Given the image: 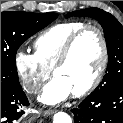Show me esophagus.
<instances>
[{
  "label": "esophagus",
  "instance_id": "34e87169",
  "mask_svg": "<svg viewBox=\"0 0 123 123\" xmlns=\"http://www.w3.org/2000/svg\"><path fill=\"white\" fill-rule=\"evenodd\" d=\"M54 113V110H44L42 111V114L44 116H49V115H52Z\"/></svg>",
  "mask_w": 123,
  "mask_h": 123
}]
</instances>
